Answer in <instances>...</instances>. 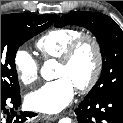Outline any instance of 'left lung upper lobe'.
Masks as SVG:
<instances>
[{
  "instance_id": "1",
  "label": "left lung upper lobe",
  "mask_w": 123,
  "mask_h": 123,
  "mask_svg": "<svg viewBox=\"0 0 123 123\" xmlns=\"http://www.w3.org/2000/svg\"><path fill=\"white\" fill-rule=\"evenodd\" d=\"M79 25L97 38L102 54L101 77L86 97L123 92V31L108 16L77 11L62 16L56 27Z\"/></svg>"
}]
</instances>
